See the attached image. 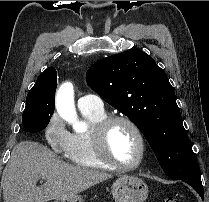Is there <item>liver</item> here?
<instances>
[{
  "label": "liver",
  "instance_id": "6515ba94",
  "mask_svg": "<svg viewBox=\"0 0 209 202\" xmlns=\"http://www.w3.org/2000/svg\"><path fill=\"white\" fill-rule=\"evenodd\" d=\"M42 178L44 185L37 186ZM112 178L111 175L70 165L47 147L32 141L18 143L3 171L4 202H47L78 193Z\"/></svg>",
  "mask_w": 209,
  "mask_h": 202
}]
</instances>
